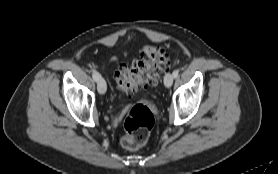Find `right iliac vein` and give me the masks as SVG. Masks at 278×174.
<instances>
[{"label":"right iliac vein","mask_w":278,"mask_h":174,"mask_svg":"<svg viewBox=\"0 0 278 174\" xmlns=\"http://www.w3.org/2000/svg\"><path fill=\"white\" fill-rule=\"evenodd\" d=\"M97 89L100 94H104L106 92L107 86L103 78H99L97 83Z\"/></svg>","instance_id":"63e3f726"}]
</instances>
